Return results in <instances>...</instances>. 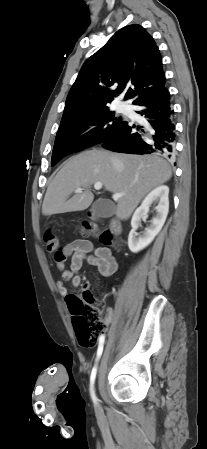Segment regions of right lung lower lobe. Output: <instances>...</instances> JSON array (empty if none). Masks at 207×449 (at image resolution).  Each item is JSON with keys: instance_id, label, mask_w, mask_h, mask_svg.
I'll return each instance as SVG.
<instances>
[{"instance_id": "right-lung-lower-lobe-1", "label": "right lung lower lobe", "mask_w": 207, "mask_h": 449, "mask_svg": "<svg viewBox=\"0 0 207 449\" xmlns=\"http://www.w3.org/2000/svg\"><path fill=\"white\" fill-rule=\"evenodd\" d=\"M133 104L141 107L137 113L144 116L145 125L137 126L138 132H134L128 122L124 121L102 146L122 153H159L169 158L173 156L176 135L169 91L165 89L158 95L140 99Z\"/></svg>"}]
</instances>
